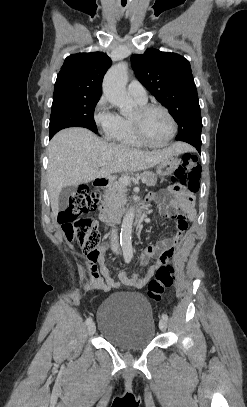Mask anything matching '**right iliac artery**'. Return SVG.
I'll return each instance as SVG.
<instances>
[{
  "label": "right iliac artery",
  "mask_w": 247,
  "mask_h": 407,
  "mask_svg": "<svg viewBox=\"0 0 247 407\" xmlns=\"http://www.w3.org/2000/svg\"><path fill=\"white\" fill-rule=\"evenodd\" d=\"M125 261H126V263H129V262H130V258H126ZM90 323H92V318H91V317H89V318L86 319V324L89 325Z\"/></svg>",
  "instance_id": "1"
}]
</instances>
